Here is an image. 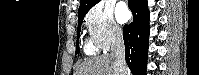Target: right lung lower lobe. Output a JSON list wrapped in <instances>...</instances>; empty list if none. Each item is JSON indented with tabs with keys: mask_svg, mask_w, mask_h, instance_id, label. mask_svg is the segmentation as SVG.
<instances>
[{
	"mask_svg": "<svg viewBox=\"0 0 199 75\" xmlns=\"http://www.w3.org/2000/svg\"><path fill=\"white\" fill-rule=\"evenodd\" d=\"M133 21L123 27L125 59L133 75H145L149 42V9L147 0H129Z\"/></svg>",
	"mask_w": 199,
	"mask_h": 75,
	"instance_id": "obj_1",
	"label": "right lung lower lobe"
}]
</instances>
